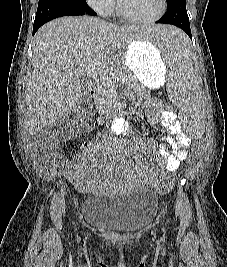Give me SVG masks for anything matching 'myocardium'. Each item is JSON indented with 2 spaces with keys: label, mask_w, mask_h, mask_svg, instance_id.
<instances>
[{
  "label": "myocardium",
  "mask_w": 227,
  "mask_h": 267,
  "mask_svg": "<svg viewBox=\"0 0 227 267\" xmlns=\"http://www.w3.org/2000/svg\"><path fill=\"white\" fill-rule=\"evenodd\" d=\"M166 8H167V0H160V9L158 13L151 18L143 19L135 17L130 13H128L123 5L122 0H117V12L119 16L128 22L137 24H149L158 21L165 14Z\"/></svg>",
  "instance_id": "myocardium-1"
}]
</instances>
